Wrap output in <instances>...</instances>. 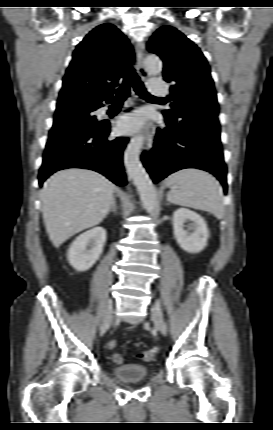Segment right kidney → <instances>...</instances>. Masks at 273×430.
<instances>
[{"label": "right kidney", "mask_w": 273, "mask_h": 430, "mask_svg": "<svg viewBox=\"0 0 273 430\" xmlns=\"http://www.w3.org/2000/svg\"><path fill=\"white\" fill-rule=\"evenodd\" d=\"M105 241L106 230L103 227H95L78 236L67 253L70 265L79 272L89 270L102 254Z\"/></svg>", "instance_id": "1"}]
</instances>
